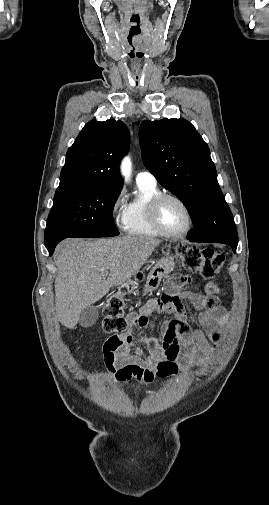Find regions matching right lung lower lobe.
Returning a JSON list of instances; mask_svg holds the SVG:
<instances>
[{
	"label": "right lung lower lobe",
	"mask_w": 269,
	"mask_h": 505,
	"mask_svg": "<svg viewBox=\"0 0 269 505\" xmlns=\"http://www.w3.org/2000/svg\"><path fill=\"white\" fill-rule=\"evenodd\" d=\"M61 240H63V239L56 240V241H54V242H52V243H49V244H45V246H46V248L48 249V251H49L50 255H52V254H53L54 249H55V246H56V245H57V244H58Z\"/></svg>",
	"instance_id": "98d812e1"
}]
</instances>
